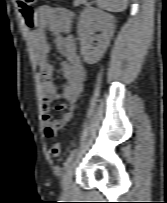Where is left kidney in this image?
<instances>
[{"label":"left kidney","mask_w":167,"mask_h":203,"mask_svg":"<svg viewBox=\"0 0 167 203\" xmlns=\"http://www.w3.org/2000/svg\"><path fill=\"white\" fill-rule=\"evenodd\" d=\"M115 19L113 15L104 13L93 7L86 8L78 24L81 55L88 64L97 63L106 51L113 35ZM100 31L98 37H93L94 32ZM97 41V46L92 44Z\"/></svg>","instance_id":"5707ae66"}]
</instances>
